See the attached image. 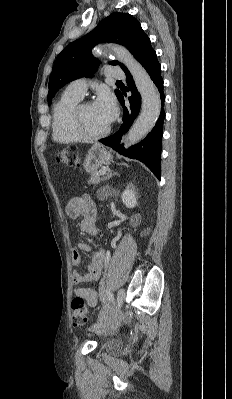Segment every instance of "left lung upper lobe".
Wrapping results in <instances>:
<instances>
[{
	"mask_svg": "<svg viewBox=\"0 0 232 399\" xmlns=\"http://www.w3.org/2000/svg\"><path fill=\"white\" fill-rule=\"evenodd\" d=\"M140 23L128 13L115 12L100 21L95 29L84 37L70 43L58 55L49 78L48 104L55 93L70 81L80 77H93L99 61L91 54L97 43L115 42L125 46L136 57L137 53L149 42ZM111 65L118 64L111 61ZM124 72L128 69L119 64ZM119 98L121 92L115 91Z\"/></svg>",
	"mask_w": 232,
	"mask_h": 399,
	"instance_id": "left-lung-upper-lobe-1",
	"label": "left lung upper lobe"
}]
</instances>
